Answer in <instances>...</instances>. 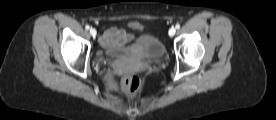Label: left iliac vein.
Here are the masks:
<instances>
[{
  "label": "left iliac vein",
  "mask_w": 276,
  "mask_h": 120,
  "mask_svg": "<svg viewBox=\"0 0 276 120\" xmlns=\"http://www.w3.org/2000/svg\"><path fill=\"white\" fill-rule=\"evenodd\" d=\"M175 33H176V29L174 28V27H171L170 29H169V36H174L175 35Z\"/></svg>",
  "instance_id": "obj_1"
}]
</instances>
